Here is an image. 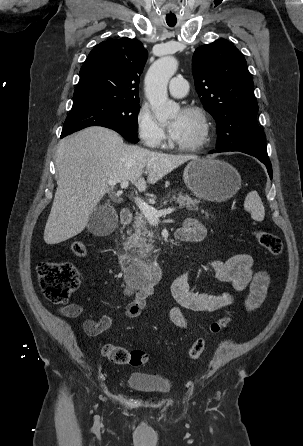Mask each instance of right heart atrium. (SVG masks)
<instances>
[{"mask_svg": "<svg viewBox=\"0 0 303 446\" xmlns=\"http://www.w3.org/2000/svg\"><path fill=\"white\" fill-rule=\"evenodd\" d=\"M136 129L141 142L147 147L159 148L166 141L164 128L146 106H142L137 112Z\"/></svg>", "mask_w": 303, "mask_h": 446, "instance_id": "d8ad5b80", "label": "right heart atrium"}]
</instances>
